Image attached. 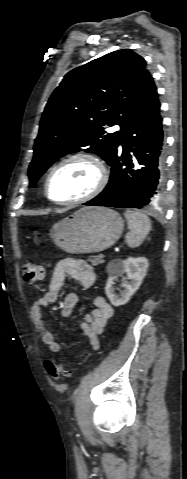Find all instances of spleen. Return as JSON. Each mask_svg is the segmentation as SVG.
Returning a JSON list of instances; mask_svg holds the SVG:
<instances>
[{
	"label": "spleen",
	"instance_id": "1",
	"mask_svg": "<svg viewBox=\"0 0 187 479\" xmlns=\"http://www.w3.org/2000/svg\"><path fill=\"white\" fill-rule=\"evenodd\" d=\"M124 216L128 223L129 232L126 234V243L130 248H136L142 244L151 230L150 218L134 210H126Z\"/></svg>",
	"mask_w": 187,
	"mask_h": 479
}]
</instances>
